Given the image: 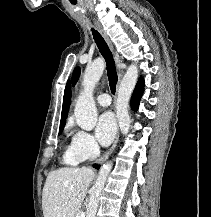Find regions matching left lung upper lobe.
Here are the masks:
<instances>
[{"mask_svg": "<svg viewBox=\"0 0 211 217\" xmlns=\"http://www.w3.org/2000/svg\"><path fill=\"white\" fill-rule=\"evenodd\" d=\"M79 75H80V69L79 67H77L74 72H73V75H72V82H73V85H75V83L77 82L78 78H79Z\"/></svg>", "mask_w": 211, "mask_h": 217, "instance_id": "obj_1", "label": "left lung upper lobe"}]
</instances>
